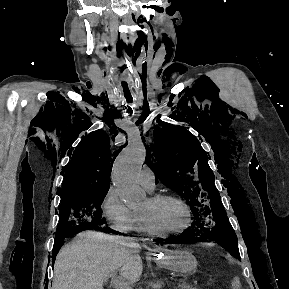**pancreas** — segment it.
Segmentation results:
<instances>
[{
  "instance_id": "pancreas-1",
  "label": "pancreas",
  "mask_w": 289,
  "mask_h": 289,
  "mask_svg": "<svg viewBox=\"0 0 289 289\" xmlns=\"http://www.w3.org/2000/svg\"><path fill=\"white\" fill-rule=\"evenodd\" d=\"M182 289V288H181ZM186 289H199L198 287L196 286H188Z\"/></svg>"
}]
</instances>
